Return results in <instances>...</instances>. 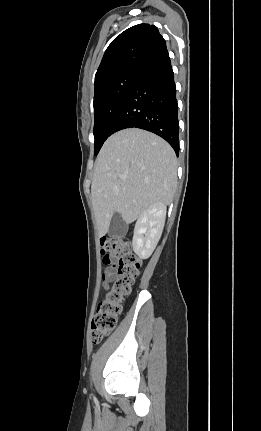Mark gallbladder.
<instances>
[{
  "mask_svg": "<svg viewBox=\"0 0 261 431\" xmlns=\"http://www.w3.org/2000/svg\"><path fill=\"white\" fill-rule=\"evenodd\" d=\"M128 226L120 214L115 213L111 219L108 234L111 237H120L126 234Z\"/></svg>",
  "mask_w": 261,
  "mask_h": 431,
  "instance_id": "obj_1",
  "label": "gallbladder"
}]
</instances>
